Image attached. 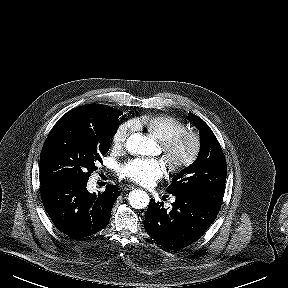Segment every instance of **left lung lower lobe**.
I'll return each mask as SVG.
<instances>
[{"label":"left lung lower lobe","instance_id":"obj_1","mask_svg":"<svg viewBox=\"0 0 288 288\" xmlns=\"http://www.w3.org/2000/svg\"><path fill=\"white\" fill-rule=\"evenodd\" d=\"M168 209L151 199L145 213L146 232L161 246L178 250L197 241L217 217L220 207L192 196L174 195Z\"/></svg>","mask_w":288,"mask_h":288}]
</instances>
